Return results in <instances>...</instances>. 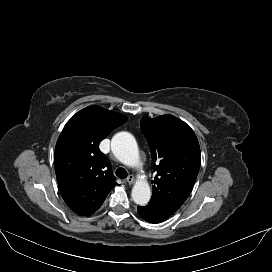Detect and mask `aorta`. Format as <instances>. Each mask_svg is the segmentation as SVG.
Wrapping results in <instances>:
<instances>
[{"mask_svg": "<svg viewBox=\"0 0 272 272\" xmlns=\"http://www.w3.org/2000/svg\"><path fill=\"white\" fill-rule=\"evenodd\" d=\"M111 149L115 157L127 166L139 164V150L135 138L128 132L115 134L111 141ZM151 198L149 184L137 181L132 188V199L137 205H146Z\"/></svg>", "mask_w": 272, "mask_h": 272, "instance_id": "obj_1", "label": "aorta"}]
</instances>
